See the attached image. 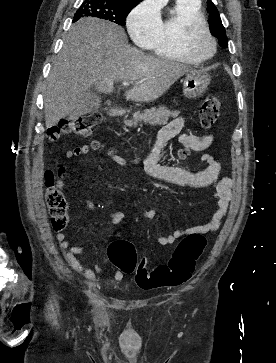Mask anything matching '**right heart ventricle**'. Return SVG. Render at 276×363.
<instances>
[{
    "instance_id": "e07e8e85",
    "label": "right heart ventricle",
    "mask_w": 276,
    "mask_h": 363,
    "mask_svg": "<svg viewBox=\"0 0 276 363\" xmlns=\"http://www.w3.org/2000/svg\"><path fill=\"white\" fill-rule=\"evenodd\" d=\"M193 20L205 22L200 1L177 0L173 14L161 20L155 38L145 46L156 56L198 65L199 62L194 61L185 53L181 41L183 26Z\"/></svg>"
}]
</instances>
